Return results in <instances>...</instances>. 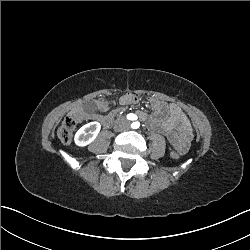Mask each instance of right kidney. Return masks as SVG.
<instances>
[{
	"label": "right kidney",
	"mask_w": 250,
	"mask_h": 250,
	"mask_svg": "<svg viewBox=\"0 0 250 250\" xmlns=\"http://www.w3.org/2000/svg\"><path fill=\"white\" fill-rule=\"evenodd\" d=\"M100 131L98 122H90L82 126L75 135V142L80 146H85L95 139Z\"/></svg>",
	"instance_id": "1"
}]
</instances>
